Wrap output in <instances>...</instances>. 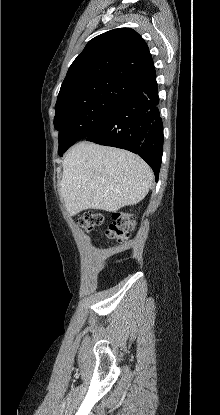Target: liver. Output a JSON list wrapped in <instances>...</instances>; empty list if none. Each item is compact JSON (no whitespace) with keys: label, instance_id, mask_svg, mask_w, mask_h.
Returning <instances> with one entry per match:
<instances>
[{"label":"liver","instance_id":"1","mask_svg":"<svg viewBox=\"0 0 220 415\" xmlns=\"http://www.w3.org/2000/svg\"><path fill=\"white\" fill-rule=\"evenodd\" d=\"M152 180V170L139 156L81 142L63 160L61 195L70 215L87 209L117 212L139 203Z\"/></svg>","mask_w":220,"mask_h":415}]
</instances>
